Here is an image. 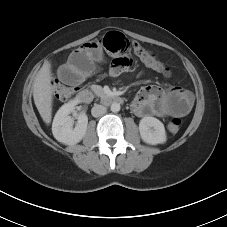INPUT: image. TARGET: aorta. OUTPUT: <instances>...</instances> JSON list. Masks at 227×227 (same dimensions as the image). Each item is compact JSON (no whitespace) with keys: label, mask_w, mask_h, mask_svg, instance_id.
<instances>
[{"label":"aorta","mask_w":227,"mask_h":227,"mask_svg":"<svg viewBox=\"0 0 227 227\" xmlns=\"http://www.w3.org/2000/svg\"><path fill=\"white\" fill-rule=\"evenodd\" d=\"M110 109L114 113L119 112L120 111V104L114 102V103L111 104V108Z\"/></svg>","instance_id":"762f6f07"}]
</instances>
